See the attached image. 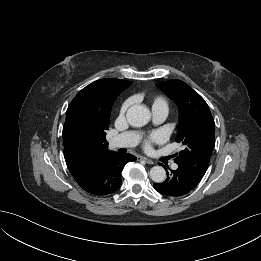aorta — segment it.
I'll list each match as a JSON object with an SVG mask.
<instances>
[{
  "label": "aorta",
  "instance_id": "aorta-1",
  "mask_svg": "<svg viewBox=\"0 0 261 261\" xmlns=\"http://www.w3.org/2000/svg\"><path fill=\"white\" fill-rule=\"evenodd\" d=\"M126 118L128 123L133 127L145 126L151 118V113L148 108L141 105L131 106ZM150 178L156 183H162L166 179V171L162 166H154L149 172Z\"/></svg>",
  "mask_w": 261,
  "mask_h": 261
}]
</instances>
